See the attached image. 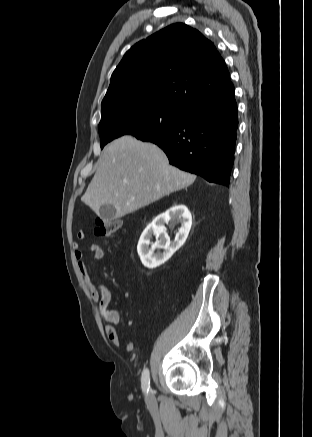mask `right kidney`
Instances as JSON below:
<instances>
[{
    "label": "right kidney",
    "mask_w": 312,
    "mask_h": 437,
    "mask_svg": "<svg viewBox=\"0 0 312 437\" xmlns=\"http://www.w3.org/2000/svg\"><path fill=\"white\" fill-rule=\"evenodd\" d=\"M181 223L175 240L170 241L165 223L169 221ZM192 225V216L185 205H176L165 213L157 216L143 231L137 246V251L142 264L150 269L164 264L186 241ZM152 234L156 236V242L150 245ZM155 249H163L162 253H155Z\"/></svg>",
    "instance_id": "right-kidney-1"
}]
</instances>
